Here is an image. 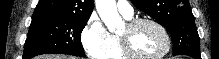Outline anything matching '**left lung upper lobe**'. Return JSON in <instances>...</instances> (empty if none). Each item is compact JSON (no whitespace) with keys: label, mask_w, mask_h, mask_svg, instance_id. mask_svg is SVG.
<instances>
[{"label":"left lung upper lobe","mask_w":219,"mask_h":59,"mask_svg":"<svg viewBox=\"0 0 219 59\" xmlns=\"http://www.w3.org/2000/svg\"><path fill=\"white\" fill-rule=\"evenodd\" d=\"M135 7L170 29L173 55L199 54V35L189 0H131Z\"/></svg>","instance_id":"1"}]
</instances>
